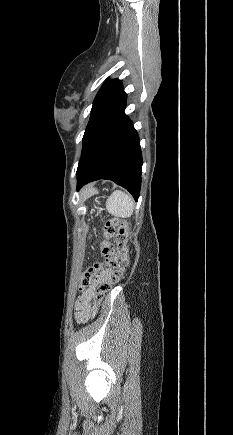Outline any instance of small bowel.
Masks as SVG:
<instances>
[{
    "instance_id": "c3829d8e",
    "label": "small bowel",
    "mask_w": 233,
    "mask_h": 435,
    "mask_svg": "<svg viewBox=\"0 0 233 435\" xmlns=\"http://www.w3.org/2000/svg\"><path fill=\"white\" fill-rule=\"evenodd\" d=\"M112 273V269H105L99 274V279L107 280L112 276ZM79 289L81 290V294L75 303L76 318L79 322H84L87 320L86 311L93 298L94 286L83 289L79 284Z\"/></svg>"
}]
</instances>
